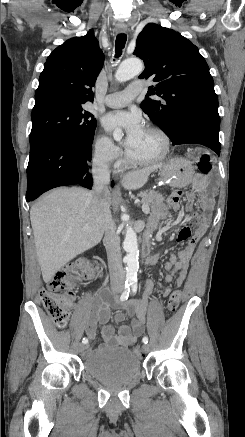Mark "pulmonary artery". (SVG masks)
I'll list each match as a JSON object with an SVG mask.
<instances>
[{
	"label": "pulmonary artery",
	"mask_w": 245,
	"mask_h": 437,
	"mask_svg": "<svg viewBox=\"0 0 245 437\" xmlns=\"http://www.w3.org/2000/svg\"><path fill=\"white\" fill-rule=\"evenodd\" d=\"M142 88V83L133 82L125 90L107 95L104 103L110 108L124 107L142 91Z\"/></svg>",
	"instance_id": "pulmonary-artery-1"
}]
</instances>
